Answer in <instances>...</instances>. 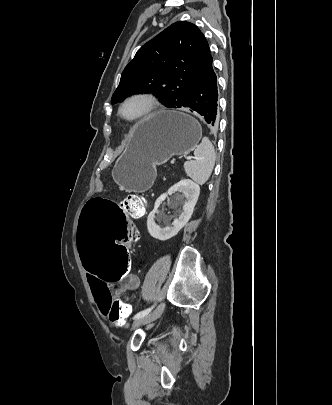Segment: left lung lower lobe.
<instances>
[{
	"label": "left lung lower lobe",
	"mask_w": 332,
	"mask_h": 405,
	"mask_svg": "<svg viewBox=\"0 0 332 405\" xmlns=\"http://www.w3.org/2000/svg\"><path fill=\"white\" fill-rule=\"evenodd\" d=\"M212 57L197 74L189 98L183 107L198 113L208 124L219 123L217 77L212 66Z\"/></svg>",
	"instance_id": "0a47b994"
}]
</instances>
